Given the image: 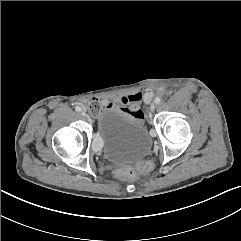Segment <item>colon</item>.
<instances>
[{"mask_svg":"<svg viewBox=\"0 0 241 241\" xmlns=\"http://www.w3.org/2000/svg\"><path fill=\"white\" fill-rule=\"evenodd\" d=\"M85 107L92 115H97L102 108L100 102L95 98L89 99L86 102ZM146 169H147V166L145 165L139 166L138 168L126 166L119 169L117 171V174L122 178L132 180V179H136L139 176V174L145 171Z\"/></svg>","mask_w":241,"mask_h":241,"instance_id":"obj_1","label":"colon"}]
</instances>
